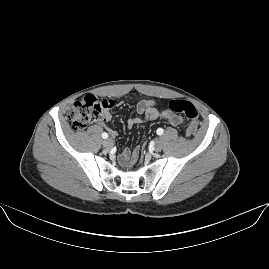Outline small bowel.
<instances>
[{"mask_svg": "<svg viewBox=\"0 0 269 269\" xmlns=\"http://www.w3.org/2000/svg\"><path fill=\"white\" fill-rule=\"evenodd\" d=\"M137 111L143 117H132L128 120V126L132 127L136 124H140L146 120H156L161 119L167 121L172 126H179L182 124L183 120L180 116L171 113L165 109H159L156 102L152 99H145L138 103ZM112 120V114L110 111L105 110L98 124L106 129L111 136L115 137L117 132L108 126V123ZM143 147L140 144L135 145L134 151L131 154L129 149H123L119 155V161L124 165L125 169L130 170L135 168L138 164L139 153L142 152ZM130 160V161H129Z\"/></svg>", "mask_w": 269, "mask_h": 269, "instance_id": "obj_1", "label": "small bowel"}]
</instances>
